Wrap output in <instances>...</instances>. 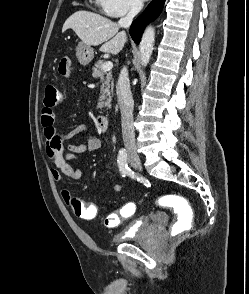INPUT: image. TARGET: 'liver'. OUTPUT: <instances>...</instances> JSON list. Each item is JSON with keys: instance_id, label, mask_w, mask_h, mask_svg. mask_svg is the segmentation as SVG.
<instances>
[{"instance_id": "liver-1", "label": "liver", "mask_w": 249, "mask_h": 294, "mask_svg": "<svg viewBox=\"0 0 249 294\" xmlns=\"http://www.w3.org/2000/svg\"><path fill=\"white\" fill-rule=\"evenodd\" d=\"M73 29L82 43L90 46L101 45L105 53L118 54L127 40L125 32L110 19L90 11H77L64 23L62 32Z\"/></svg>"}]
</instances>
